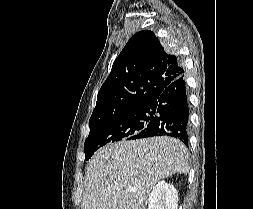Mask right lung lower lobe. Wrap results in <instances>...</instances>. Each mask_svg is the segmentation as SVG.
<instances>
[{
  "label": "right lung lower lobe",
  "instance_id": "1",
  "mask_svg": "<svg viewBox=\"0 0 253 209\" xmlns=\"http://www.w3.org/2000/svg\"><path fill=\"white\" fill-rule=\"evenodd\" d=\"M149 105L154 111L153 119L131 139L170 136L188 145L189 105L184 74L172 81Z\"/></svg>",
  "mask_w": 253,
  "mask_h": 209
}]
</instances>
